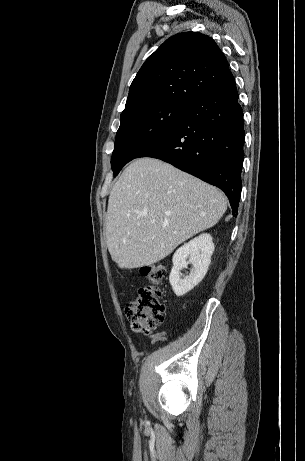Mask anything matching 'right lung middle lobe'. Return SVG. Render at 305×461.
Masks as SVG:
<instances>
[{"label": "right lung middle lobe", "mask_w": 305, "mask_h": 461, "mask_svg": "<svg viewBox=\"0 0 305 461\" xmlns=\"http://www.w3.org/2000/svg\"><path fill=\"white\" fill-rule=\"evenodd\" d=\"M188 108L189 104L163 102L121 117L111 158L114 176L126 163L167 135L185 116Z\"/></svg>", "instance_id": "dd1d6c3e"}]
</instances>
